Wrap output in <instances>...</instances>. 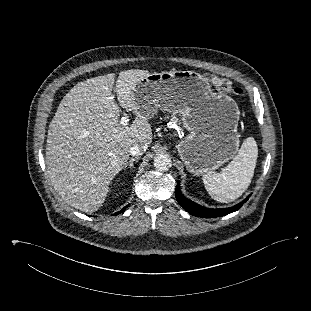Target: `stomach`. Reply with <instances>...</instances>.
<instances>
[{
	"instance_id": "obj_1",
	"label": "stomach",
	"mask_w": 311,
	"mask_h": 311,
	"mask_svg": "<svg viewBox=\"0 0 311 311\" xmlns=\"http://www.w3.org/2000/svg\"><path fill=\"white\" fill-rule=\"evenodd\" d=\"M138 111L147 118L158 109L182 115L189 134L178 154L194 175L212 173L239 149V108L227 95L212 92L206 78L194 71H166L145 77L134 90Z\"/></svg>"
}]
</instances>
